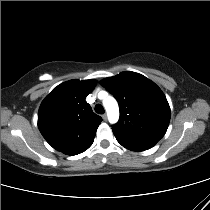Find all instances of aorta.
<instances>
[{
  "instance_id": "762f6f07",
  "label": "aorta",
  "mask_w": 210,
  "mask_h": 210,
  "mask_svg": "<svg viewBox=\"0 0 210 210\" xmlns=\"http://www.w3.org/2000/svg\"><path fill=\"white\" fill-rule=\"evenodd\" d=\"M103 106L107 112L108 120L114 124L119 119V107L116 99L112 96H106L103 100Z\"/></svg>"
}]
</instances>
